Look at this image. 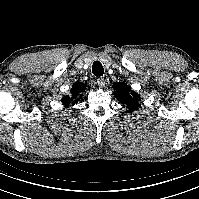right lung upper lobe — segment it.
Instances as JSON below:
<instances>
[{
  "mask_svg": "<svg viewBox=\"0 0 199 199\" xmlns=\"http://www.w3.org/2000/svg\"><path fill=\"white\" fill-rule=\"evenodd\" d=\"M85 89V86L83 83L80 82H75L71 92H72V97L70 98L69 96L63 97L62 98V102L63 105H65L66 107H68L69 103L72 102L73 104L76 103L77 101H79V99L77 98V96L80 94V92Z\"/></svg>",
  "mask_w": 199,
  "mask_h": 199,
  "instance_id": "cb5924a9",
  "label": "right lung upper lobe"
}]
</instances>
